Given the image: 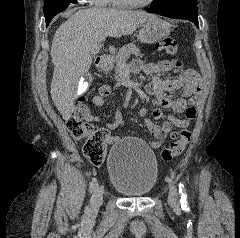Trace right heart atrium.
Segmentation results:
<instances>
[{
    "mask_svg": "<svg viewBox=\"0 0 240 238\" xmlns=\"http://www.w3.org/2000/svg\"><path fill=\"white\" fill-rule=\"evenodd\" d=\"M90 5H103L107 0H82Z\"/></svg>",
    "mask_w": 240,
    "mask_h": 238,
    "instance_id": "right-heart-atrium-1",
    "label": "right heart atrium"
}]
</instances>
